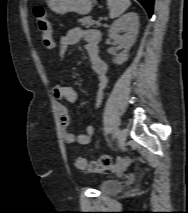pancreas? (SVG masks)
Listing matches in <instances>:
<instances>
[{
  "instance_id": "cf45deb5",
  "label": "pancreas",
  "mask_w": 188,
  "mask_h": 213,
  "mask_svg": "<svg viewBox=\"0 0 188 213\" xmlns=\"http://www.w3.org/2000/svg\"><path fill=\"white\" fill-rule=\"evenodd\" d=\"M79 23H80L81 26H85L87 28L91 27V26H95V25L100 26V23L97 22V21H94L92 19V17H90V16H87V17L80 19Z\"/></svg>"
}]
</instances>
